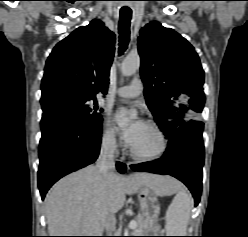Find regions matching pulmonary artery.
Here are the masks:
<instances>
[{"label": "pulmonary artery", "instance_id": "pulmonary-artery-1", "mask_svg": "<svg viewBox=\"0 0 248 237\" xmlns=\"http://www.w3.org/2000/svg\"><path fill=\"white\" fill-rule=\"evenodd\" d=\"M142 90V81L140 79H133L129 85L118 88L115 93L123 98H135L141 95Z\"/></svg>", "mask_w": 248, "mask_h": 237}]
</instances>
